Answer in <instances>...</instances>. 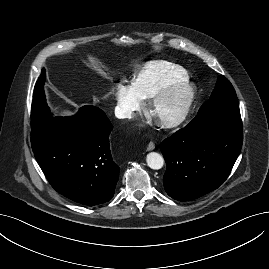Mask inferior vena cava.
Listing matches in <instances>:
<instances>
[{"mask_svg":"<svg viewBox=\"0 0 269 269\" xmlns=\"http://www.w3.org/2000/svg\"><path fill=\"white\" fill-rule=\"evenodd\" d=\"M115 115L119 119L131 118L132 113L130 111L116 110Z\"/></svg>","mask_w":269,"mask_h":269,"instance_id":"inferior-vena-cava-1","label":"inferior vena cava"}]
</instances>
